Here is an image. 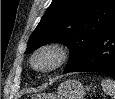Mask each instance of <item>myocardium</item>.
Returning a JSON list of instances; mask_svg holds the SVG:
<instances>
[{"label":"myocardium","mask_w":115,"mask_h":99,"mask_svg":"<svg viewBox=\"0 0 115 99\" xmlns=\"http://www.w3.org/2000/svg\"><path fill=\"white\" fill-rule=\"evenodd\" d=\"M43 54H50L53 57V62L45 68H40L36 65V60ZM70 56L68 46L61 42H50L38 47L31 56V67L40 73H50L60 68L67 62Z\"/></svg>","instance_id":"myocardium-1"}]
</instances>
